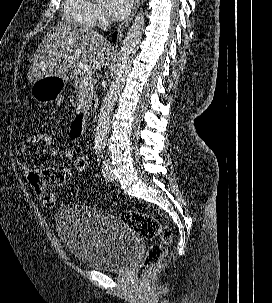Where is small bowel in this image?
<instances>
[{"label": "small bowel", "instance_id": "1", "mask_svg": "<svg viewBox=\"0 0 272 303\" xmlns=\"http://www.w3.org/2000/svg\"><path fill=\"white\" fill-rule=\"evenodd\" d=\"M71 138L73 140H78L79 138L71 131ZM30 146H38L37 135H30L25 141L19 142L15 146V155L19 158L23 157ZM51 155L57 154V148L48 151ZM21 170L27 175V177H32L29 179L35 191L38 190L42 192L48 191V189L58 186L65 185L71 177V171L67 167H52L44 170H31L26 164L20 163Z\"/></svg>", "mask_w": 272, "mask_h": 303}]
</instances>
